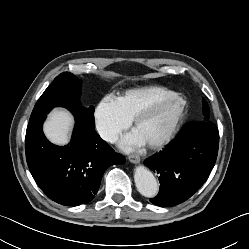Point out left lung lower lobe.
<instances>
[{
    "instance_id": "left-lung-lower-lobe-1",
    "label": "left lung lower lobe",
    "mask_w": 249,
    "mask_h": 249,
    "mask_svg": "<svg viewBox=\"0 0 249 249\" xmlns=\"http://www.w3.org/2000/svg\"><path fill=\"white\" fill-rule=\"evenodd\" d=\"M219 133L210 121L193 122L159 154L144 161L159 176L160 191L150 201L174 206L190 198L207 180L218 154Z\"/></svg>"
}]
</instances>
